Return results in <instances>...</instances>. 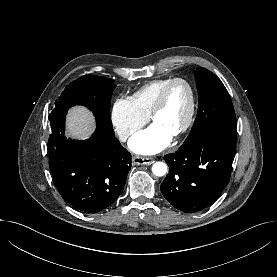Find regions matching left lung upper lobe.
<instances>
[{
	"mask_svg": "<svg viewBox=\"0 0 277 277\" xmlns=\"http://www.w3.org/2000/svg\"><path fill=\"white\" fill-rule=\"evenodd\" d=\"M199 105L197 117L182 146L214 133L237 134V121L231 98L223 83L205 68L194 71Z\"/></svg>",
	"mask_w": 277,
	"mask_h": 277,
	"instance_id": "left-lung-upper-lobe-1",
	"label": "left lung upper lobe"
}]
</instances>
